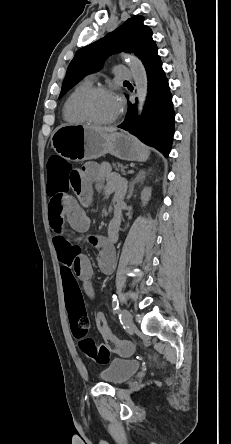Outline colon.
Wrapping results in <instances>:
<instances>
[{
  "label": "colon",
  "instance_id": "obj_1",
  "mask_svg": "<svg viewBox=\"0 0 231 444\" xmlns=\"http://www.w3.org/2000/svg\"><path fill=\"white\" fill-rule=\"evenodd\" d=\"M48 183L47 192L51 197L50 208L53 209L61 202L62 194L71 186V181L78 176V170L58 156H51L47 164ZM70 326L74 337L78 340L82 352L97 364H106L110 352H128L131 346L127 342L117 339L96 343L88 336L90 320L86 306L80 294L66 295Z\"/></svg>",
  "mask_w": 231,
  "mask_h": 444
}]
</instances>
